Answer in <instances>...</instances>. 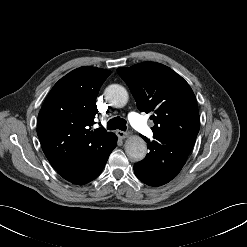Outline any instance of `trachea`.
<instances>
[{"label": "trachea", "instance_id": "obj_1", "mask_svg": "<svg viewBox=\"0 0 247 247\" xmlns=\"http://www.w3.org/2000/svg\"><path fill=\"white\" fill-rule=\"evenodd\" d=\"M126 120L120 118L119 116L110 119L107 123L108 130H116L120 129L122 131H126Z\"/></svg>", "mask_w": 247, "mask_h": 247}]
</instances>
